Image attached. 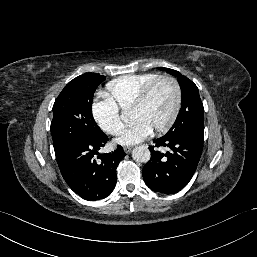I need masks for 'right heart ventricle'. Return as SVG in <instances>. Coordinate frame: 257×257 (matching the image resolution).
I'll return each mask as SVG.
<instances>
[{
	"mask_svg": "<svg viewBox=\"0 0 257 257\" xmlns=\"http://www.w3.org/2000/svg\"><path fill=\"white\" fill-rule=\"evenodd\" d=\"M158 77L156 73L121 76L106 85V97L119 109L129 110L140 93Z\"/></svg>",
	"mask_w": 257,
	"mask_h": 257,
	"instance_id": "1",
	"label": "right heart ventricle"
}]
</instances>
